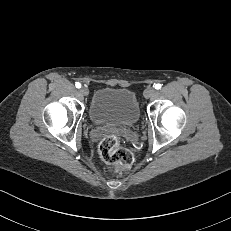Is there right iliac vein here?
Returning <instances> with one entry per match:
<instances>
[{"mask_svg": "<svg viewBox=\"0 0 231 231\" xmlns=\"http://www.w3.org/2000/svg\"><path fill=\"white\" fill-rule=\"evenodd\" d=\"M80 93H81L83 96H87V95L89 94V90H88V88H86V87H82V88L80 89Z\"/></svg>", "mask_w": 231, "mask_h": 231, "instance_id": "obj_1", "label": "right iliac vein"}]
</instances>
